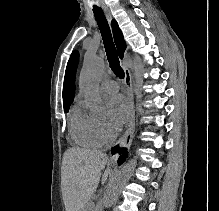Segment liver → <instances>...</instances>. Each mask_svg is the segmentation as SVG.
I'll use <instances>...</instances> for the list:
<instances>
[{
  "mask_svg": "<svg viewBox=\"0 0 219 211\" xmlns=\"http://www.w3.org/2000/svg\"><path fill=\"white\" fill-rule=\"evenodd\" d=\"M108 159L106 153L69 147L63 157L62 183L66 211H82L96 191L101 179L107 181L110 169H104Z\"/></svg>",
  "mask_w": 219,
  "mask_h": 211,
  "instance_id": "6515ba94",
  "label": "liver"
}]
</instances>
